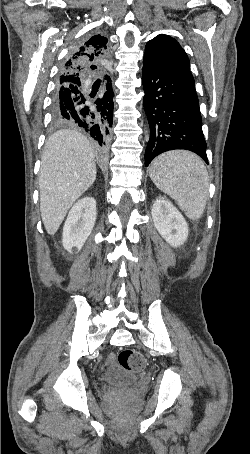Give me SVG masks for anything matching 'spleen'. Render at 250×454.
I'll return each instance as SVG.
<instances>
[{"instance_id":"obj_1","label":"spleen","mask_w":250,"mask_h":454,"mask_svg":"<svg viewBox=\"0 0 250 454\" xmlns=\"http://www.w3.org/2000/svg\"><path fill=\"white\" fill-rule=\"evenodd\" d=\"M150 178L158 189L176 201L191 220L202 217L208 197L209 179L203 161L187 151H170L150 165Z\"/></svg>"}]
</instances>
